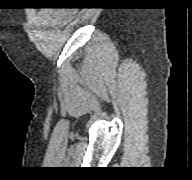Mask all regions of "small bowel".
I'll use <instances>...</instances> for the list:
<instances>
[{
    "mask_svg": "<svg viewBox=\"0 0 192 180\" xmlns=\"http://www.w3.org/2000/svg\"><path fill=\"white\" fill-rule=\"evenodd\" d=\"M62 15L57 11L42 10L38 12L36 21L41 26H52L59 21Z\"/></svg>",
    "mask_w": 192,
    "mask_h": 180,
    "instance_id": "small-bowel-1",
    "label": "small bowel"
}]
</instances>
